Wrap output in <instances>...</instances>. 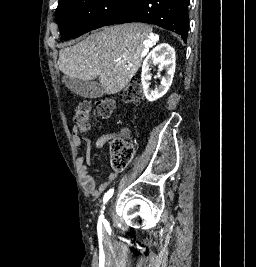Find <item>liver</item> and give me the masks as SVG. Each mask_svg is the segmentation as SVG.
I'll list each match as a JSON object with an SVG mask.
<instances>
[{
	"label": "liver",
	"instance_id": "6515ba94",
	"mask_svg": "<svg viewBox=\"0 0 256 267\" xmlns=\"http://www.w3.org/2000/svg\"><path fill=\"white\" fill-rule=\"evenodd\" d=\"M147 32L145 24L104 26L76 46L62 48L58 68L84 82L99 78L105 94H117L141 66Z\"/></svg>",
	"mask_w": 256,
	"mask_h": 267
}]
</instances>
